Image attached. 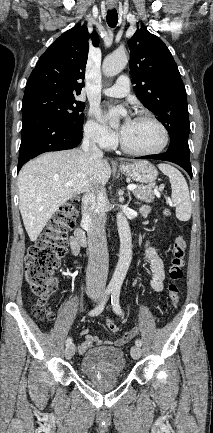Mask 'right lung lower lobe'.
Listing matches in <instances>:
<instances>
[{
	"label": "right lung lower lobe",
	"mask_w": 213,
	"mask_h": 433,
	"mask_svg": "<svg viewBox=\"0 0 213 433\" xmlns=\"http://www.w3.org/2000/svg\"><path fill=\"white\" fill-rule=\"evenodd\" d=\"M22 135L17 171L30 159L48 151L72 149L82 140L78 132L37 111L22 113Z\"/></svg>",
	"instance_id": "obj_1"
}]
</instances>
